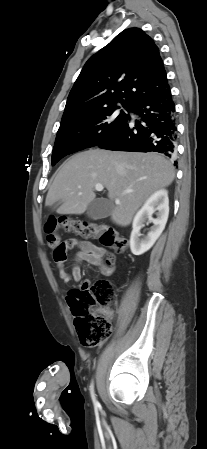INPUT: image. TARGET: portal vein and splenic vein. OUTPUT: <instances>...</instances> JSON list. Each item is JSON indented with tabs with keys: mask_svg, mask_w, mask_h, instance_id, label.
I'll list each match as a JSON object with an SVG mask.
<instances>
[{
	"mask_svg": "<svg viewBox=\"0 0 207 449\" xmlns=\"http://www.w3.org/2000/svg\"><path fill=\"white\" fill-rule=\"evenodd\" d=\"M103 189H104V186H103L102 184L97 183V184L95 185V190H96V191H103ZM131 192H132V190H128V191L124 192V194H126V193H131Z\"/></svg>",
	"mask_w": 207,
	"mask_h": 449,
	"instance_id": "portal-vein-and-splenic-vein-1",
	"label": "portal vein and splenic vein"
}]
</instances>
